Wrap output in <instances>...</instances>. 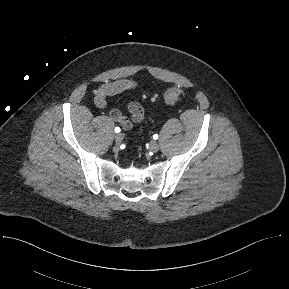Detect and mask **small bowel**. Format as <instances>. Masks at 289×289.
Masks as SVG:
<instances>
[{
  "label": "small bowel",
  "mask_w": 289,
  "mask_h": 289,
  "mask_svg": "<svg viewBox=\"0 0 289 289\" xmlns=\"http://www.w3.org/2000/svg\"><path fill=\"white\" fill-rule=\"evenodd\" d=\"M139 82L133 79H119L103 83L95 91L94 102L98 108H105L108 103V98L119 95L125 91L135 89L138 87ZM127 112L130 118L123 115L118 109H112L109 113L110 118L118 123L124 130H131L134 123H139L145 119L146 113L143 106L132 101L128 103Z\"/></svg>",
  "instance_id": "obj_1"
}]
</instances>
